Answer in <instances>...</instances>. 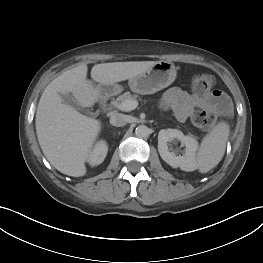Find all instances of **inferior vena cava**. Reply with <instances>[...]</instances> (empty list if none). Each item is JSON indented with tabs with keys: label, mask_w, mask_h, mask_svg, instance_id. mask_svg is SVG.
Instances as JSON below:
<instances>
[{
	"label": "inferior vena cava",
	"mask_w": 263,
	"mask_h": 263,
	"mask_svg": "<svg viewBox=\"0 0 263 263\" xmlns=\"http://www.w3.org/2000/svg\"><path fill=\"white\" fill-rule=\"evenodd\" d=\"M110 124L116 127H122L126 125V116L121 113H113L110 116Z\"/></svg>",
	"instance_id": "obj_1"
}]
</instances>
